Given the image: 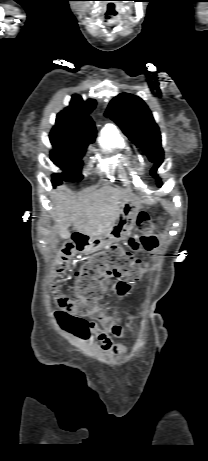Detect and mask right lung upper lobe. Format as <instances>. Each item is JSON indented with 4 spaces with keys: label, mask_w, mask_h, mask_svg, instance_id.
I'll return each instance as SVG.
<instances>
[{
    "label": "right lung upper lobe",
    "mask_w": 208,
    "mask_h": 461,
    "mask_svg": "<svg viewBox=\"0 0 208 461\" xmlns=\"http://www.w3.org/2000/svg\"><path fill=\"white\" fill-rule=\"evenodd\" d=\"M95 106V100L84 102L80 96L73 95L70 105L57 115L52 132L74 138L96 135L95 125L88 115Z\"/></svg>",
    "instance_id": "obj_1"
}]
</instances>
